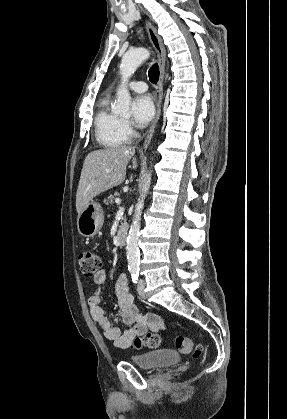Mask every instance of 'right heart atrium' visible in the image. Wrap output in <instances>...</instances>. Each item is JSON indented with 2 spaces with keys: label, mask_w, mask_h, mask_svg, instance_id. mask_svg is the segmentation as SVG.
Segmentation results:
<instances>
[{
  "label": "right heart atrium",
  "mask_w": 287,
  "mask_h": 419,
  "mask_svg": "<svg viewBox=\"0 0 287 419\" xmlns=\"http://www.w3.org/2000/svg\"><path fill=\"white\" fill-rule=\"evenodd\" d=\"M122 130L127 138H130L134 135V130L127 120H122Z\"/></svg>",
  "instance_id": "right-heart-atrium-1"
}]
</instances>
